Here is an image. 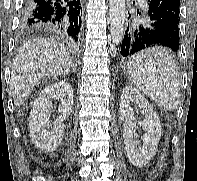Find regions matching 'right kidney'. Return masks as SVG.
<instances>
[{"label":"right kidney","mask_w":197,"mask_h":181,"mask_svg":"<svg viewBox=\"0 0 197 181\" xmlns=\"http://www.w3.org/2000/svg\"><path fill=\"white\" fill-rule=\"evenodd\" d=\"M73 96V89L66 81L52 83L41 91L29 117L30 137L38 148L46 152L57 149L64 135L63 121L72 112ZM54 100H60L59 104L53 105ZM53 107L59 116L50 124Z\"/></svg>","instance_id":"1"}]
</instances>
